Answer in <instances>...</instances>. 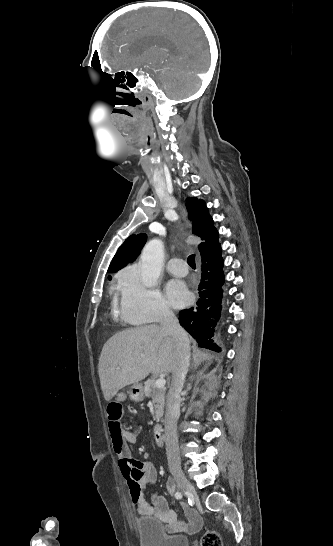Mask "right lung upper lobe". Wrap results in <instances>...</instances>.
<instances>
[{"label":"right lung upper lobe","instance_id":"obj_1","mask_svg":"<svg viewBox=\"0 0 333 546\" xmlns=\"http://www.w3.org/2000/svg\"><path fill=\"white\" fill-rule=\"evenodd\" d=\"M188 218L192 221L193 233L203 241L199 246L201 257H207L218 245V232L213 226L214 221L209 215L203 200L188 198L186 201ZM145 234L131 235L120 246L108 268V272H116L133 262L146 242Z\"/></svg>","mask_w":333,"mask_h":546}]
</instances>
